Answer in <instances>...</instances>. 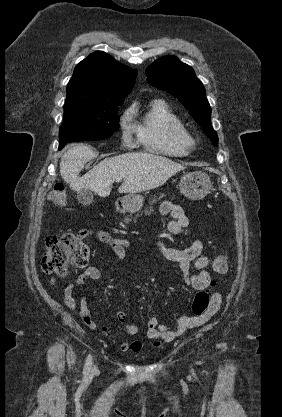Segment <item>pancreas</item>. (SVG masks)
<instances>
[{"instance_id": "1", "label": "pancreas", "mask_w": 282, "mask_h": 417, "mask_svg": "<svg viewBox=\"0 0 282 417\" xmlns=\"http://www.w3.org/2000/svg\"><path fill=\"white\" fill-rule=\"evenodd\" d=\"M162 196H165L164 192H162V194H160L159 198H162ZM154 202H157L156 200V196H152L149 204H154ZM130 219H132V215H129ZM137 217H140V215H137ZM130 219H125V223H128V221H130ZM135 219V217H134Z\"/></svg>"}]
</instances>
